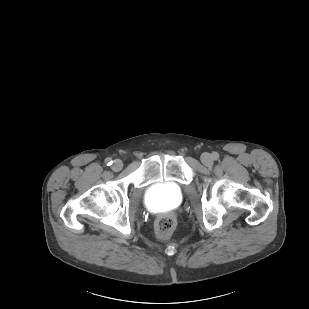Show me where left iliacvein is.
Returning <instances> with one entry per match:
<instances>
[{
  "instance_id": "left-iliac-vein-1",
  "label": "left iliac vein",
  "mask_w": 309,
  "mask_h": 309,
  "mask_svg": "<svg viewBox=\"0 0 309 309\" xmlns=\"http://www.w3.org/2000/svg\"><path fill=\"white\" fill-rule=\"evenodd\" d=\"M201 161L206 166H212L213 165V158L209 153H203L201 155Z\"/></svg>"
}]
</instances>
